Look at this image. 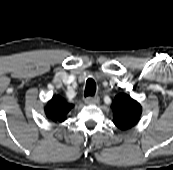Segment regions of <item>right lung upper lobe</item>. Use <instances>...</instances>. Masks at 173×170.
<instances>
[{"instance_id":"cb5924a9","label":"right lung upper lobe","mask_w":173,"mask_h":170,"mask_svg":"<svg viewBox=\"0 0 173 170\" xmlns=\"http://www.w3.org/2000/svg\"><path fill=\"white\" fill-rule=\"evenodd\" d=\"M72 107L73 105L67 104L63 98L53 97L45 107V114L48 119L54 122H63Z\"/></svg>"}]
</instances>
